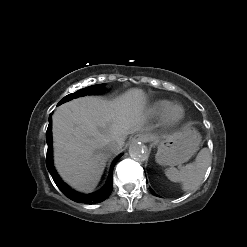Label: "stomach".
Instances as JSON below:
<instances>
[{
    "instance_id": "obj_1",
    "label": "stomach",
    "mask_w": 247,
    "mask_h": 247,
    "mask_svg": "<svg viewBox=\"0 0 247 247\" xmlns=\"http://www.w3.org/2000/svg\"><path fill=\"white\" fill-rule=\"evenodd\" d=\"M201 136L191 125L161 141L156 160L161 165L175 166L187 162L198 150Z\"/></svg>"
}]
</instances>
